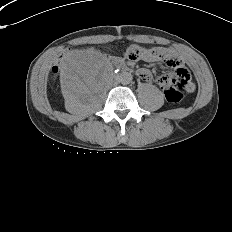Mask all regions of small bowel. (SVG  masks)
Wrapping results in <instances>:
<instances>
[{
  "instance_id": "obj_1",
  "label": "small bowel",
  "mask_w": 232,
  "mask_h": 232,
  "mask_svg": "<svg viewBox=\"0 0 232 232\" xmlns=\"http://www.w3.org/2000/svg\"><path fill=\"white\" fill-rule=\"evenodd\" d=\"M141 51H142V55H141L142 60H144L146 62H150V63L151 62H162V63L166 64L167 66L174 68V70H175L174 75H177V73L179 72V71L176 72L177 69L186 70L182 66V60L174 48L155 47V48H151L149 50H141ZM138 73H139V76L144 81H146V82L153 81V77L148 70L140 69ZM158 84L163 88V85H164L163 78H160L158 80ZM194 88H195V86L190 80L189 83L186 85L185 90L188 92H191L194 90Z\"/></svg>"
}]
</instances>
